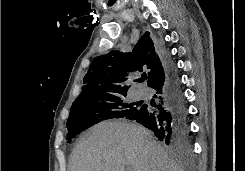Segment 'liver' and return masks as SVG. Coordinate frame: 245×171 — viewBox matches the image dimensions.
I'll list each match as a JSON object with an SVG mask.
<instances>
[{"instance_id":"obj_1","label":"liver","mask_w":245,"mask_h":171,"mask_svg":"<svg viewBox=\"0 0 245 171\" xmlns=\"http://www.w3.org/2000/svg\"><path fill=\"white\" fill-rule=\"evenodd\" d=\"M183 171L142 126L105 121L90 128L72 152L70 171Z\"/></svg>"}]
</instances>
